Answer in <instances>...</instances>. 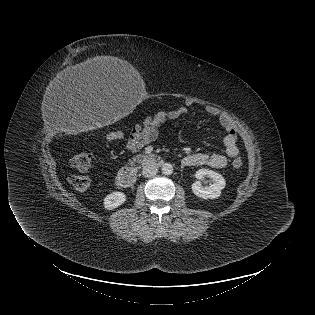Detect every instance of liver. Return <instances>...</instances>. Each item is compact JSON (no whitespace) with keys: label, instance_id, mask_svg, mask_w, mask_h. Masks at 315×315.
Instances as JSON below:
<instances>
[{"label":"liver","instance_id":"6515ba94","mask_svg":"<svg viewBox=\"0 0 315 315\" xmlns=\"http://www.w3.org/2000/svg\"><path fill=\"white\" fill-rule=\"evenodd\" d=\"M68 84L137 82L139 73L127 61L114 56H95L64 69L58 76Z\"/></svg>","mask_w":315,"mask_h":315}]
</instances>
